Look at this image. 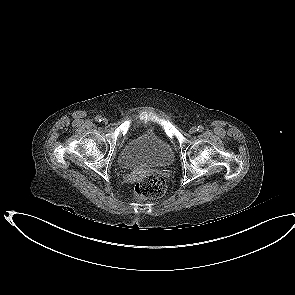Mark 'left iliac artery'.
I'll return each instance as SVG.
<instances>
[{
  "label": "left iliac artery",
  "mask_w": 295,
  "mask_h": 295,
  "mask_svg": "<svg viewBox=\"0 0 295 295\" xmlns=\"http://www.w3.org/2000/svg\"><path fill=\"white\" fill-rule=\"evenodd\" d=\"M203 129H204V127H203L202 125H199V126L197 127V131H199V132H202Z\"/></svg>",
  "instance_id": "44dca946"
}]
</instances>
